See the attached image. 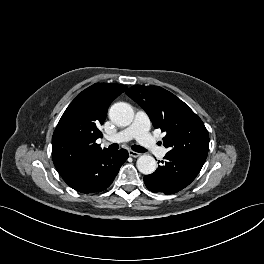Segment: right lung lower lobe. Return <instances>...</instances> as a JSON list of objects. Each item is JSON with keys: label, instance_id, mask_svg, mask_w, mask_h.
Here are the masks:
<instances>
[{"label": "right lung lower lobe", "instance_id": "obj_1", "mask_svg": "<svg viewBox=\"0 0 264 264\" xmlns=\"http://www.w3.org/2000/svg\"><path fill=\"white\" fill-rule=\"evenodd\" d=\"M127 158L128 152L125 149L108 150L61 176L71 188L78 192H101L112 184Z\"/></svg>", "mask_w": 264, "mask_h": 264}]
</instances>
